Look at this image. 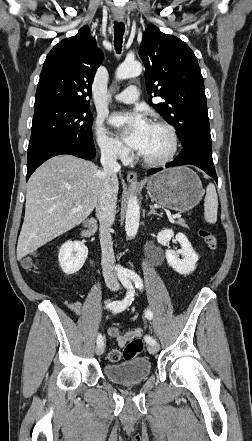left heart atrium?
I'll use <instances>...</instances> for the list:
<instances>
[{"instance_id":"obj_1","label":"left heart atrium","mask_w":252,"mask_h":441,"mask_svg":"<svg viewBox=\"0 0 252 441\" xmlns=\"http://www.w3.org/2000/svg\"><path fill=\"white\" fill-rule=\"evenodd\" d=\"M110 123L119 131L128 146L138 152L142 151L151 124L141 113H116L110 118Z\"/></svg>"}]
</instances>
